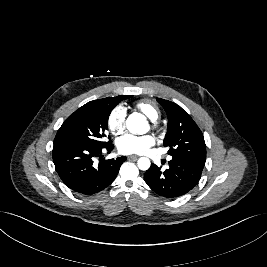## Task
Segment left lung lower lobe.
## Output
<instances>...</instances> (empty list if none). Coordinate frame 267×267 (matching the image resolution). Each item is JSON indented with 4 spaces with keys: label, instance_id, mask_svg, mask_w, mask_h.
I'll use <instances>...</instances> for the list:
<instances>
[{
    "label": "left lung lower lobe",
    "instance_id": "0a47b994",
    "mask_svg": "<svg viewBox=\"0 0 267 267\" xmlns=\"http://www.w3.org/2000/svg\"><path fill=\"white\" fill-rule=\"evenodd\" d=\"M204 163L172 157L169 168L161 171L155 164L144 174L147 185L158 195L177 198L194 188L201 178Z\"/></svg>",
    "mask_w": 267,
    "mask_h": 267
}]
</instances>
